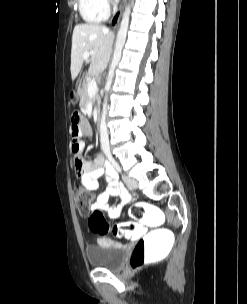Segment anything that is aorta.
Wrapping results in <instances>:
<instances>
[{
  "label": "aorta",
  "mask_w": 247,
  "mask_h": 304,
  "mask_svg": "<svg viewBox=\"0 0 247 304\" xmlns=\"http://www.w3.org/2000/svg\"><path fill=\"white\" fill-rule=\"evenodd\" d=\"M130 12H131V5L128 4L125 8V11L123 13V17L121 20V24L117 33L116 43H115V49L113 54V59L109 68L107 81L105 85V98L103 103V109L101 114V123H100V143L101 147L105 152L109 151V135H108V129L106 125V115L108 110V92L111 88L113 78H114V72L115 68L120 62L122 50L125 45L126 37H127V31L129 26V20H130Z\"/></svg>",
  "instance_id": "obj_1"
}]
</instances>
